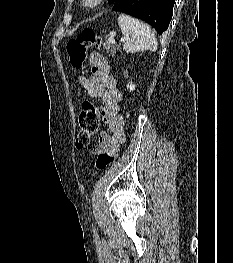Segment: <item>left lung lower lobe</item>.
<instances>
[{
    "label": "left lung lower lobe",
    "mask_w": 233,
    "mask_h": 263,
    "mask_svg": "<svg viewBox=\"0 0 233 263\" xmlns=\"http://www.w3.org/2000/svg\"><path fill=\"white\" fill-rule=\"evenodd\" d=\"M175 0H116L112 10L141 19L159 34L167 30Z\"/></svg>",
    "instance_id": "obj_1"
}]
</instances>
